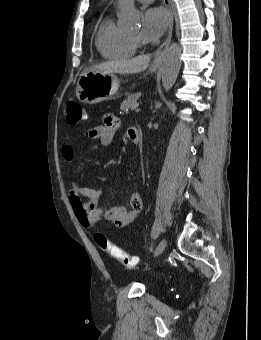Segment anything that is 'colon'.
<instances>
[{
  "mask_svg": "<svg viewBox=\"0 0 261 340\" xmlns=\"http://www.w3.org/2000/svg\"><path fill=\"white\" fill-rule=\"evenodd\" d=\"M86 111L81 104L77 102H69L66 109V121L69 125H77L86 119ZM94 241L97 246L109 254L110 257L117 260L125 267H135L138 264V258L133 256L113 244L103 233H96Z\"/></svg>",
  "mask_w": 261,
  "mask_h": 340,
  "instance_id": "1",
  "label": "colon"
}]
</instances>
